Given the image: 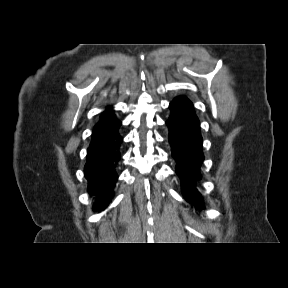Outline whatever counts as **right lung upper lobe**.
Here are the masks:
<instances>
[{"label":"right lung upper lobe","instance_id":"right-lung-upper-lobe-1","mask_svg":"<svg viewBox=\"0 0 288 288\" xmlns=\"http://www.w3.org/2000/svg\"><path fill=\"white\" fill-rule=\"evenodd\" d=\"M120 126V121L111 114V110L108 107L100 116V121L95 126L92 134V142H99L105 138L111 136L117 131Z\"/></svg>","mask_w":288,"mask_h":288}]
</instances>
